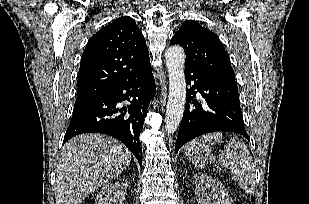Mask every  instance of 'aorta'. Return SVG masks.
<instances>
[{
	"label": "aorta",
	"instance_id": "aorta-1",
	"mask_svg": "<svg viewBox=\"0 0 309 204\" xmlns=\"http://www.w3.org/2000/svg\"><path fill=\"white\" fill-rule=\"evenodd\" d=\"M169 76V95L167 102L165 128L173 134L183 117L186 101L185 53L180 46H171L165 53Z\"/></svg>",
	"mask_w": 309,
	"mask_h": 204
}]
</instances>
